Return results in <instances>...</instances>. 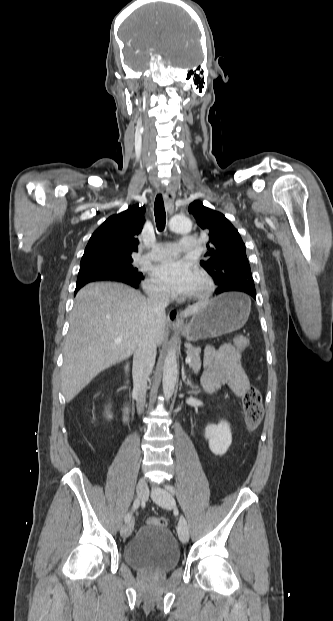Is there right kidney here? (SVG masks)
Returning <instances> with one entry per match:
<instances>
[{
	"label": "right kidney",
	"instance_id": "1",
	"mask_svg": "<svg viewBox=\"0 0 333 621\" xmlns=\"http://www.w3.org/2000/svg\"><path fill=\"white\" fill-rule=\"evenodd\" d=\"M107 418H108V419H111V418H112V416L109 414V415H107Z\"/></svg>",
	"mask_w": 333,
	"mask_h": 621
}]
</instances>
